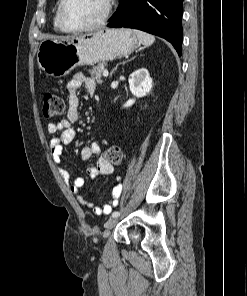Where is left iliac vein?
I'll return each mask as SVG.
<instances>
[{
  "mask_svg": "<svg viewBox=\"0 0 247 296\" xmlns=\"http://www.w3.org/2000/svg\"><path fill=\"white\" fill-rule=\"evenodd\" d=\"M118 222V217H111L110 219H108V221L105 224V228L107 230L112 229Z\"/></svg>",
  "mask_w": 247,
  "mask_h": 296,
  "instance_id": "4c4485c4",
  "label": "left iliac vein"
}]
</instances>
